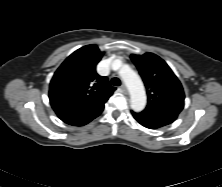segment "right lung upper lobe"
Masks as SVG:
<instances>
[{"mask_svg": "<svg viewBox=\"0 0 222 187\" xmlns=\"http://www.w3.org/2000/svg\"><path fill=\"white\" fill-rule=\"evenodd\" d=\"M103 52L87 45L72 53L57 69L51 82L49 99L61 120L88 118L100 114L115 91L107 77L97 74L96 65Z\"/></svg>", "mask_w": 222, "mask_h": 187, "instance_id": "right-lung-upper-lobe-1", "label": "right lung upper lobe"}]
</instances>
